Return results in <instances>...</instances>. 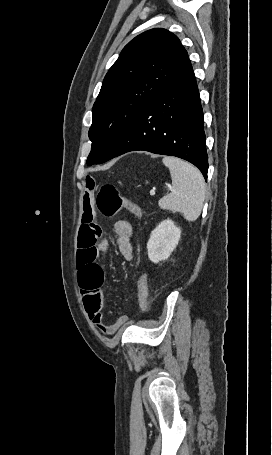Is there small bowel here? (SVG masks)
<instances>
[{
	"instance_id": "small-bowel-1",
	"label": "small bowel",
	"mask_w": 272,
	"mask_h": 455,
	"mask_svg": "<svg viewBox=\"0 0 272 455\" xmlns=\"http://www.w3.org/2000/svg\"><path fill=\"white\" fill-rule=\"evenodd\" d=\"M86 194L83 199V215L78 237V279L82 292V299L87 314L94 325L104 334H114L127 320L126 316H120L113 323H106L103 318L104 294L102 290L104 272L98 263L100 251L107 247L105 240L99 242L101 231L96 224L93 211L89 202V196L95 188V180L92 176L85 178ZM114 233L118 249L126 261L133 259L132 226L126 220L115 222Z\"/></svg>"
}]
</instances>
